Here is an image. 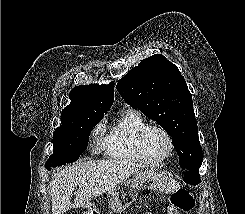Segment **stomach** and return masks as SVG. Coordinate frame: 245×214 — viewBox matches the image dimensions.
<instances>
[{
  "mask_svg": "<svg viewBox=\"0 0 245 214\" xmlns=\"http://www.w3.org/2000/svg\"><path fill=\"white\" fill-rule=\"evenodd\" d=\"M150 189L162 194H171L177 191L180 186L172 178L154 171H139L109 191L107 194L108 206L114 212L120 213L127 209L137 198L138 191ZM84 208L87 214L96 212L91 203H87Z\"/></svg>",
  "mask_w": 245,
  "mask_h": 214,
  "instance_id": "1",
  "label": "stomach"
}]
</instances>
